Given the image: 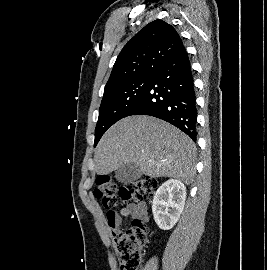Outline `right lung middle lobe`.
Segmentation results:
<instances>
[{
  "instance_id": "obj_1",
  "label": "right lung middle lobe",
  "mask_w": 267,
  "mask_h": 270,
  "mask_svg": "<svg viewBox=\"0 0 267 270\" xmlns=\"http://www.w3.org/2000/svg\"><path fill=\"white\" fill-rule=\"evenodd\" d=\"M152 79L153 76L138 77L104 90L95 129L94 146L97 145L104 132L110 126L126 117L128 112L141 100L148 90Z\"/></svg>"
}]
</instances>
